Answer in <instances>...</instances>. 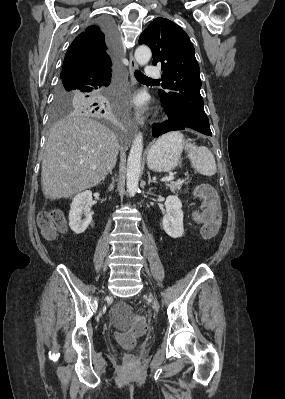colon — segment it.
<instances>
[{
  "label": "colon",
  "mask_w": 285,
  "mask_h": 399,
  "mask_svg": "<svg viewBox=\"0 0 285 399\" xmlns=\"http://www.w3.org/2000/svg\"><path fill=\"white\" fill-rule=\"evenodd\" d=\"M192 194L200 200L202 211L210 215L211 219L203 225L201 234L203 238L208 239L216 235L220 224L221 216L217 203L214 202L215 194L213 190L206 185L196 186ZM38 227L42 234L46 237H53L57 233L65 229V220L58 211L43 212L39 215L37 220ZM147 328V320L143 317L137 316L130 329L119 333L117 338L124 344L132 345L135 340L140 337ZM124 361L127 365L136 363V358L133 354L127 353L124 356Z\"/></svg>",
  "instance_id": "5ec220e1"
}]
</instances>
